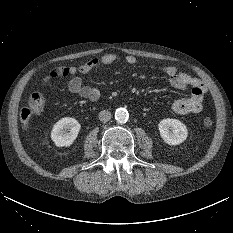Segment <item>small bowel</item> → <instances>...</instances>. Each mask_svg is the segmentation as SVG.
<instances>
[{"mask_svg": "<svg viewBox=\"0 0 233 233\" xmlns=\"http://www.w3.org/2000/svg\"><path fill=\"white\" fill-rule=\"evenodd\" d=\"M118 58V55L114 53H107L100 57L92 58L79 67L54 68L42 80L41 85H46L50 80L69 75L72 76L68 83L69 91L90 102H95L100 98V91L95 87L84 85L82 79L77 74H86L100 65H110L116 62ZM125 61L133 65L137 62V59L134 55H127ZM163 73L168 77L170 84L174 88L179 90H184L188 87L191 88L190 96L173 101L170 105V110L181 115L201 112L204 95L207 91L205 83L187 73L179 72L174 66H165Z\"/></svg>", "mask_w": 233, "mask_h": 233, "instance_id": "c3829d8e", "label": "small bowel"}]
</instances>
